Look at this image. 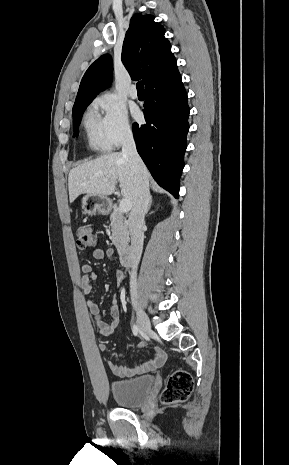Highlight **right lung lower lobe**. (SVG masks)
<instances>
[{"label": "right lung lower lobe", "instance_id": "obj_1", "mask_svg": "<svg viewBox=\"0 0 289 465\" xmlns=\"http://www.w3.org/2000/svg\"><path fill=\"white\" fill-rule=\"evenodd\" d=\"M145 125L133 124L137 151L156 182L178 198L189 130L188 98L181 77L146 90Z\"/></svg>", "mask_w": 289, "mask_h": 465}]
</instances>
